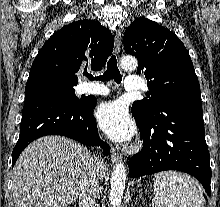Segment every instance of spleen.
<instances>
[{
    "instance_id": "obj_1",
    "label": "spleen",
    "mask_w": 220,
    "mask_h": 207,
    "mask_svg": "<svg viewBox=\"0 0 220 207\" xmlns=\"http://www.w3.org/2000/svg\"><path fill=\"white\" fill-rule=\"evenodd\" d=\"M154 207H205L201 185L191 176L175 171L154 176Z\"/></svg>"
}]
</instances>
